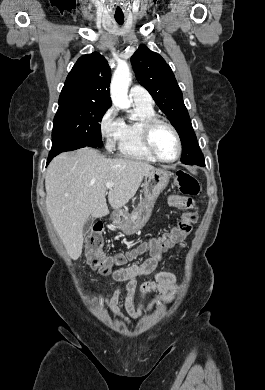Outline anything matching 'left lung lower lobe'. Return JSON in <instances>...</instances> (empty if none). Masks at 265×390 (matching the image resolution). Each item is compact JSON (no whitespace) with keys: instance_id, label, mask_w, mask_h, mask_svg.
<instances>
[{"instance_id":"1","label":"left lung lower lobe","mask_w":265,"mask_h":390,"mask_svg":"<svg viewBox=\"0 0 265 390\" xmlns=\"http://www.w3.org/2000/svg\"><path fill=\"white\" fill-rule=\"evenodd\" d=\"M196 165L205 166L204 159L202 161H200V162H197Z\"/></svg>"}]
</instances>
